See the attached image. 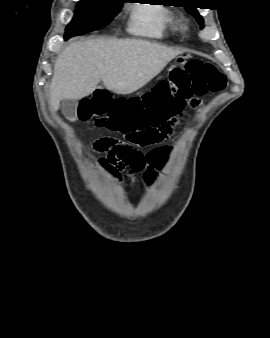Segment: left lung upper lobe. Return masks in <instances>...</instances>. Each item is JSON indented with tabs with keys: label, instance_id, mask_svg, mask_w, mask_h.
<instances>
[{
	"label": "left lung upper lobe",
	"instance_id": "1",
	"mask_svg": "<svg viewBox=\"0 0 270 338\" xmlns=\"http://www.w3.org/2000/svg\"><path fill=\"white\" fill-rule=\"evenodd\" d=\"M185 9L189 14L194 16L196 18V20L198 21V23L201 25V27H203V23H204L203 18L200 16V14L196 10V8L192 7V6H188V7H185Z\"/></svg>",
	"mask_w": 270,
	"mask_h": 338
}]
</instances>
